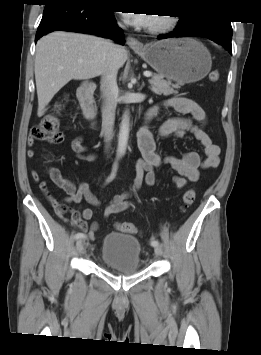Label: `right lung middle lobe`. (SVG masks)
<instances>
[{
	"label": "right lung middle lobe",
	"instance_id": "right-lung-middle-lobe-1",
	"mask_svg": "<svg viewBox=\"0 0 261 355\" xmlns=\"http://www.w3.org/2000/svg\"><path fill=\"white\" fill-rule=\"evenodd\" d=\"M101 0H85V2H88V3H91V4H96V5H99V2Z\"/></svg>",
	"mask_w": 261,
	"mask_h": 355
}]
</instances>
